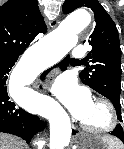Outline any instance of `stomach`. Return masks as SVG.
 Returning a JSON list of instances; mask_svg holds the SVG:
<instances>
[{
	"label": "stomach",
	"instance_id": "1",
	"mask_svg": "<svg viewBox=\"0 0 124 149\" xmlns=\"http://www.w3.org/2000/svg\"><path fill=\"white\" fill-rule=\"evenodd\" d=\"M76 139L78 149H111L113 147L110 137H94L86 133H79Z\"/></svg>",
	"mask_w": 124,
	"mask_h": 149
}]
</instances>
